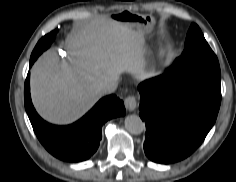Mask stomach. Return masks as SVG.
Listing matches in <instances>:
<instances>
[{"mask_svg": "<svg viewBox=\"0 0 236 182\" xmlns=\"http://www.w3.org/2000/svg\"><path fill=\"white\" fill-rule=\"evenodd\" d=\"M102 22L123 23L131 29L152 34L154 31L155 20L152 16L133 13L131 11L114 12L102 11L100 13Z\"/></svg>", "mask_w": 236, "mask_h": 182, "instance_id": "stomach-1", "label": "stomach"}]
</instances>
